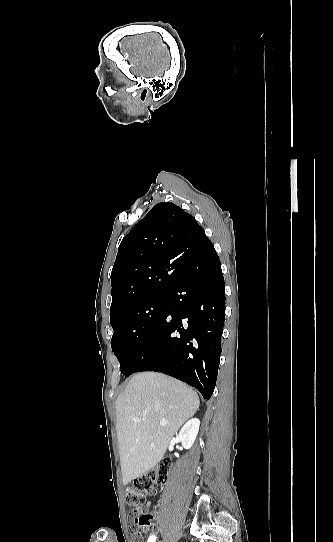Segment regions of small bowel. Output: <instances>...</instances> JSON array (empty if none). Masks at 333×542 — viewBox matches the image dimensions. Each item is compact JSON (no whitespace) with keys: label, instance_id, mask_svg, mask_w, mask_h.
I'll list each match as a JSON object with an SVG mask.
<instances>
[{"label":"small bowel","instance_id":"small-bowel-1","mask_svg":"<svg viewBox=\"0 0 333 542\" xmlns=\"http://www.w3.org/2000/svg\"><path fill=\"white\" fill-rule=\"evenodd\" d=\"M146 505H147V506H149V505H150V502H147V503H146ZM143 526H144V528H146V529H147V528H149V526H150V525H149V523H147V522H146V523H144V525H143ZM152 533H153V535H155V536H156V535H158V533H159V532H158V530H156V529H155V530H153V532H152ZM151 535H152V534H151ZM151 535H149V536H151Z\"/></svg>","mask_w":333,"mask_h":542}]
</instances>
